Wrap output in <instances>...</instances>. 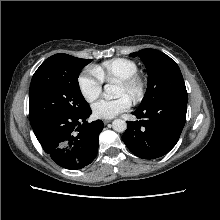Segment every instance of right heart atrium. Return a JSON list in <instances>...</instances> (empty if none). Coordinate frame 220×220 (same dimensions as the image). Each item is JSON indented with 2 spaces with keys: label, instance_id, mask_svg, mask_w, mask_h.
<instances>
[{
  "label": "right heart atrium",
  "instance_id": "d8ad5b80",
  "mask_svg": "<svg viewBox=\"0 0 220 220\" xmlns=\"http://www.w3.org/2000/svg\"><path fill=\"white\" fill-rule=\"evenodd\" d=\"M103 82L92 69H87L78 78V87L83 98L92 103L102 92Z\"/></svg>",
  "mask_w": 220,
  "mask_h": 220
}]
</instances>
